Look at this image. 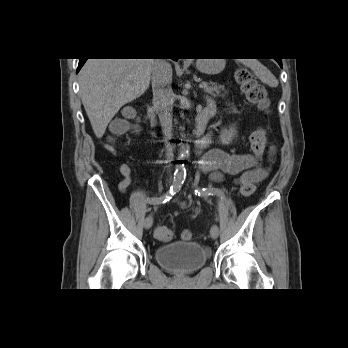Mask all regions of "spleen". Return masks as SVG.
<instances>
[{"label":"spleen","mask_w":348,"mask_h":348,"mask_svg":"<svg viewBox=\"0 0 348 348\" xmlns=\"http://www.w3.org/2000/svg\"><path fill=\"white\" fill-rule=\"evenodd\" d=\"M240 62L249 67L263 83L270 87L278 86V80L275 76L257 59H241Z\"/></svg>","instance_id":"spleen-1"}]
</instances>
